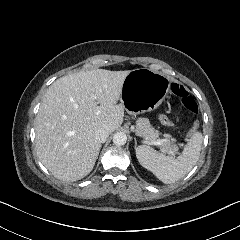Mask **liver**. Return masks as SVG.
<instances>
[{
	"label": "liver",
	"mask_w": 240,
	"mask_h": 240,
	"mask_svg": "<svg viewBox=\"0 0 240 240\" xmlns=\"http://www.w3.org/2000/svg\"><path fill=\"white\" fill-rule=\"evenodd\" d=\"M129 73L79 71L49 86L36 115L35 145L41 163L56 178L77 181L92 170L101 147L97 131L113 132L123 122L124 107L117 101Z\"/></svg>",
	"instance_id": "obj_1"
}]
</instances>
